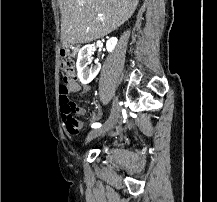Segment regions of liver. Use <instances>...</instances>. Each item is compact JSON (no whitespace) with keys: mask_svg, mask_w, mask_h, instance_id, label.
Wrapping results in <instances>:
<instances>
[{"mask_svg":"<svg viewBox=\"0 0 217 202\" xmlns=\"http://www.w3.org/2000/svg\"><path fill=\"white\" fill-rule=\"evenodd\" d=\"M139 0H58L61 42L87 44L118 30L134 14ZM99 14L104 22L96 20Z\"/></svg>","mask_w":217,"mask_h":202,"instance_id":"liver-1","label":"liver"}]
</instances>
